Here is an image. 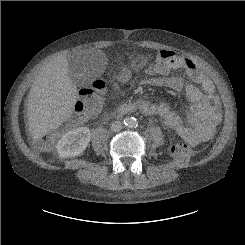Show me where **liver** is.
<instances>
[{
  "mask_svg": "<svg viewBox=\"0 0 245 245\" xmlns=\"http://www.w3.org/2000/svg\"><path fill=\"white\" fill-rule=\"evenodd\" d=\"M77 87L70 76L67 56L48 63L35 78L27 104L29 133L39 139L59 128L72 115Z\"/></svg>",
  "mask_w": 245,
  "mask_h": 245,
  "instance_id": "1",
  "label": "liver"
}]
</instances>
